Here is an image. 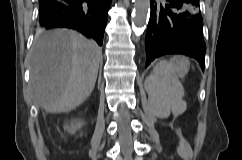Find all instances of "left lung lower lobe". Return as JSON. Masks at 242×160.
I'll use <instances>...</instances> for the list:
<instances>
[{"mask_svg": "<svg viewBox=\"0 0 242 160\" xmlns=\"http://www.w3.org/2000/svg\"><path fill=\"white\" fill-rule=\"evenodd\" d=\"M151 15L146 32V65L165 54H185L204 69L206 45L199 0L150 1Z\"/></svg>", "mask_w": 242, "mask_h": 160, "instance_id": "left-lung-lower-lobe-1", "label": "left lung lower lobe"}]
</instances>
